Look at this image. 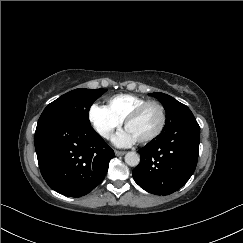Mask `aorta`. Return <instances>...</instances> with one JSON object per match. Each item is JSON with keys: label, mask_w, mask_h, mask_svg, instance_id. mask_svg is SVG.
<instances>
[{"label": "aorta", "mask_w": 243, "mask_h": 243, "mask_svg": "<svg viewBox=\"0 0 243 243\" xmlns=\"http://www.w3.org/2000/svg\"><path fill=\"white\" fill-rule=\"evenodd\" d=\"M125 162L127 165L131 166V167H135L139 164L140 162V156L136 153V152H128L125 155Z\"/></svg>", "instance_id": "aorta-1"}]
</instances>
